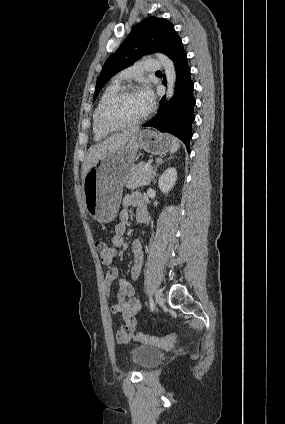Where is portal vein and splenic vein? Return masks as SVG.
I'll return each instance as SVG.
<instances>
[{
	"mask_svg": "<svg viewBox=\"0 0 285 424\" xmlns=\"http://www.w3.org/2000/svg\"><path fill=\"white\" fill-rule=\"evenodd\" d=\"M151 168V163H148L144 167V171H148Z\"/></svg>",
	"mask_w": 285,
	"mask_h": 424,
	"instance_id": "obj_1",
	"label": "portal vein and splenic vein"
}]
</instances>
